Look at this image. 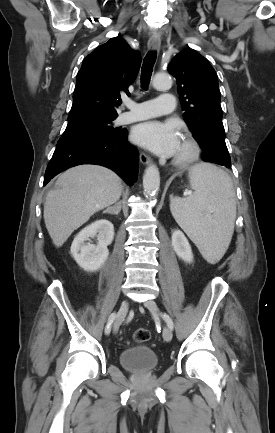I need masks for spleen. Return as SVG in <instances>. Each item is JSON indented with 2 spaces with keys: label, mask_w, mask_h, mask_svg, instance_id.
Instances as JSON below:
<instances>
[{
  "label": "spleen",
  "mask_w": 275,
  "mask_h": 433,
  "mask_svg": "<svg viewBox=\"0 0 275 433\" xmlns=\"http://www.w3.org/2000/svg\"><path fill=\"white\" fill-rule=\"evenodd\" d=\"M189 180L194 194L172 198L170 209L205 260L214 264L225 254L234 232L233 183L225 171L207 163L191 167Z\"/></svg>",
  "instance_id": "3e777b00"
}]
</instances>
